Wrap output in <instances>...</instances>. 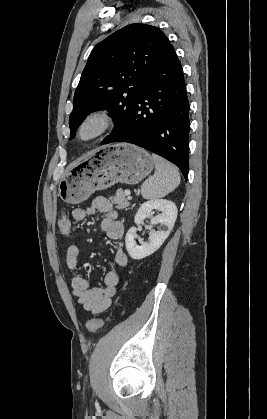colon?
<instances>
[{
  "instance_id": "1",
  "label": "colon",
  "mask_w": 267,
  "mask_h": 419,
  "mask_svg": "<svg viewBox=\"0 0 267 419\" xmlns=\"http://www.w3.org/2000/svg\"><path fill=\"white\" fill-rule=\"evenodd\" d=\"M57 226L60 230V232L64 235V236H71V225H70V220L69 217L67 216V214L63 213L58 221H57ZM108 318H94L91 319L90 321L87 322L86 324V329L89 333H93L96 330H98L103 324L104 322L107 320Z\"/></svg>"
}]
</instances>
